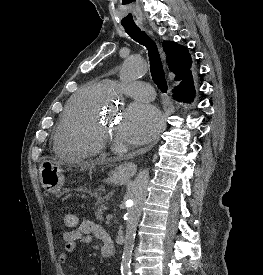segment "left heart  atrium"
<instances>
[{"instance_id":"1","label":"left heart atrium","mask_w":263,"mask_h":275,"mask_svg":"<svg viewBox=\"0 0 263 275\" xmlns=\"http://www.w3.org/2000/svg\"><path fill=\"white\" fill-rule=\"evenodd\" d=\"M163 118L160 110L146 102L131 103L119 126V135L128 142L143 144L152 140L161 130Z\"/></svg>"}]
</instances>
